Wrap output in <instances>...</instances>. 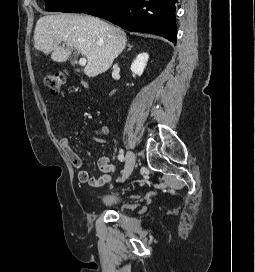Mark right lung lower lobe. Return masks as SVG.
Here are the masks:
<instances>
[{
	"label": "right lung lower lobe",
	"mask_w": 255,
	"mask_h": 272,
	"mask_svg": "<svg viewBox=\"0 0 255 272\" xmlns=\"http://www.w3.org/2000/svg\"><path fill=\"white\" fill-rule=\"evenodd\" d=\"M176 0H98L84 13L128 31L148 32L176 43Z\"/></svg>",
	"instance_id": "1"
}]
</instances>
